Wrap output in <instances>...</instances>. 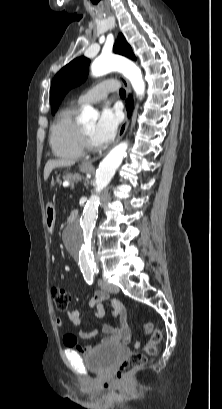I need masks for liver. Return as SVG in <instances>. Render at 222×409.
Segmentation results:
<instances>
[{
	"label": "liver",
	"instance_id": "1",
	"mask_svg": "<svg viewBox=\"0 0 222 409\" xmlns=\"http://www.w3.org/2000/svg\"><path fill=\"white\" fill-rule=\"evenodd\" d=\"M75 164V161L68 159H51L48 160L44 167V180L46 181L53 169L57 167H68Z\"/></svg>",
	"mask_w": 222,
	"mask_h": 409
}]
</instances>
